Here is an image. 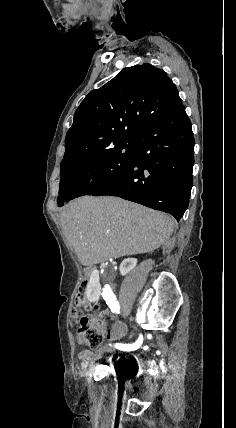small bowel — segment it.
Instances as JSON below:
<instances>
[{
    "instance_id": "small-bowel-1",
    "label": "small bowel",
    "mask_w": 236,
    "mask_h": 428,
    "mask_svg": "<svg viewBox=\"0 0 236 428\" xmlns=\"http://www.w3.org/2000/svg\"><path fill=\"white\" fill-rule=\"evenodd\" d=\"M127 328L124 324L118 323L113 325L107 332L106 338L108 340H117L125 336ZM80 359L84 365H88L98 359L99 355L90 351H82L80 353Z\"/></svg>"
}]
</instances>
